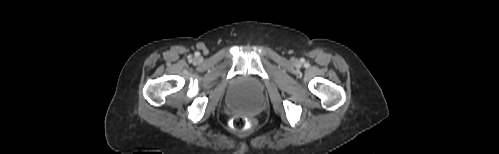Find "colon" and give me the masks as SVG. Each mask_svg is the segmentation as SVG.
I'll use <instances>...</instances> for the list:
<instances>
[{"label":"colon","mask_w":499,"mask_h":154,"mask_svg":"<svg viewBox=\"0 0 499 154\" xmlns=\"http://www.w3.org/2000/svg\"><path fill=\"white\" fill-rule=\"evenodd\" d=\"M251 125V121L243 116H235L231 120V126L236 131H244L249 128Z\"/></svg>","instance_id":"5ec220e1"}]
</instances>
